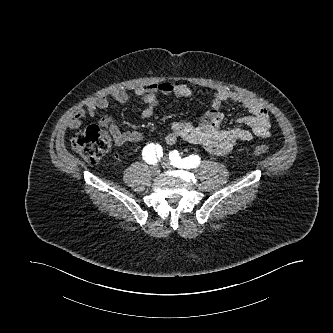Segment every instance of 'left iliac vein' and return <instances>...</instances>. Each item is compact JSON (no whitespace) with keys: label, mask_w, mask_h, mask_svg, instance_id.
Wrapping results in <instances>:
<instances>
[{"label":"left iliac vein","mask_w":333,"mask_h":333,"mask_svg":"<svg viewBox=\"0 0 333 333\" xmlns=\"http://www.w3.org/2000/svg\"><path fill=\"white\" fill-rule=\"evenodd\" d=\"M162 166H163L164 168H168V169H170V168H171V163H170L166 158H164V160H163V162H162Z\"/></svg>","instance_id":"4c4485c4"}]
</instances>
